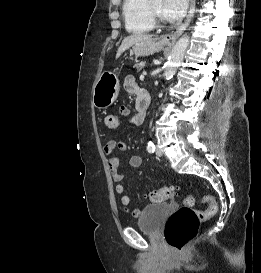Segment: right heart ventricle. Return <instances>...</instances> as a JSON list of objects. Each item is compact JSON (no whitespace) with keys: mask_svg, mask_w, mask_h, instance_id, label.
Segmentation results:
<instances>
[{"mask_svg":"<svg viewBox=\"0 0 261 273\" xmlns=\"http://www.w3.org/2000/svg\"><path fill=\"white\" fill-rule=\"evenodd\" d=\"M147 3L148 0H123L122 13L128 32L144 34L154 29Z\"/></svg>","mask_w":261,"mask_h":273,"instance_id":"obj_1","label":"right heart ventricle"}]
</instances>
